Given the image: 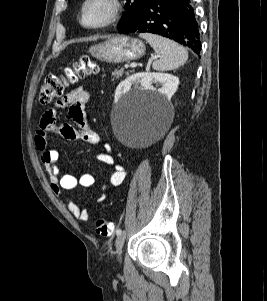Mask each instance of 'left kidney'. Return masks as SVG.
Instances as JSON below:
<instances>
[{"label":"left kidney","mask_w":267,"mask_h":301,"mask_svg":"<svg viewBox=\"0 0 267 301\" xmlns=\"http://www.w3.org/2000/svg\"><path fill=\"white\" fill-rule=\"evenodd\" d=\"M153 83L161 84V88L157 90L158 93L170 100L178 88L179 78L168 73H136L117 86L115 101L129 93L133 84H140L142 90L153 91Z\"/></svg>","instance_id":"5707ae66"}]
</instances>
